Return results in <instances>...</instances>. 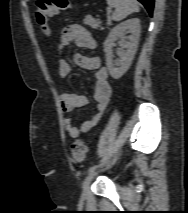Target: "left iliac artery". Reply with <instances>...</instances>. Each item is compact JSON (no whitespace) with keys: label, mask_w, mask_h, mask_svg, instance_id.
<instances>
[{"label":"left iliac artery","mask_w":188,"mask_h":213,"mask_svg":"<svg viewBox=\"0 0 188 213\" xmlns=\"http://www.w3.org/2000/svg\"><path fill=\"white\" fill-rule=\"evenodd\" d=\"M98 165H93L89 168L88 172L91 173V172H94L96 169H97Z\"/></svg>","instance_id":"44dca946"}]
</instances>
